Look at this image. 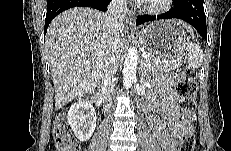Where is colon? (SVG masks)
I'll return each mask as SVG.
<instances>
[{"label": "colon", "instance_id": "colon-1", "mask_svg": "<svg viewBox=\"0 0 231 151\" xmlns=\"http://www.w3.org/2000/svg\"><path fill=\"white\" fill-rule=\"evenodd\" d=\"M197 90L198 86L194 70L189 67L184 68L181 79L176 86V92L180 99L179 106L185 120L192 121L195 118ZM53 136L55 147L58 151H79L78 144L71 138L66 128L63 116L55 120ZM194 147V133L183 135L179 144V151H193Z\"/></svg>", "mask_w": 231, "mask_h": 151}]
</instances>
